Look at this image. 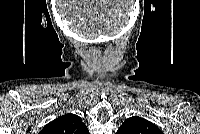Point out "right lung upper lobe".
I'll return each mask as SVG.
<instances>
[{
    "mask_svg": "<svg viewBox=\"0 0 200 134\" xmlns=\"http://www.w3.org/2000/svg\"><path fill=\"white\" fill-rule=\"evenodd\" d=\"M43 134H87L89 133L82 119L75 114H65L48 123Z\"/></svg>",
    "mask_w": 200,
    "mask_h": 134,
    "instance_id": "cb5924a9",
    "label": "right lung upper lobe"
}]
</instances>
